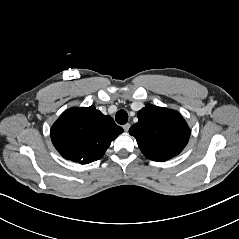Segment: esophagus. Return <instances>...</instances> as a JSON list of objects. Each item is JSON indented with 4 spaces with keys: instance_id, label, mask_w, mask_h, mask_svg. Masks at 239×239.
<instances>
[{
    "instance_id": "esophagus-1",
    "label": "esophagus",
    "mask_w": 239,
    "mask_h": 239,
    "mask_svg": "<svg viewBox=\"0 0 239 239\" xmlns=\"http://www.w3.org/2000/svg\"><path fill=\"white\" fill-rule=\"evenodd\" d=\"M129 128H130L129 123H126L125 125H123V129L125 130V132H128Z\"/></svg>"
}]
</instances>
